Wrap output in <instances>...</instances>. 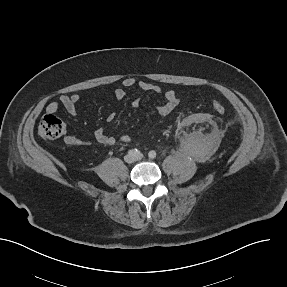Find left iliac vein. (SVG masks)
I'll return each mask as SVG.
<instances>
[{
    "mask_svg": "<svg viewBox=\"0 0 287 287\" xmlns=\"http://www.w3.org/2000/svg\"><path fill=\"white\" fill-rule=\"evenodd\" d=\"M142 157H143V156L140 155V156L136 157V159H137V160H140V159H142Z\"/></svg>",
    "mask_w": 287,
    "mask_h": 287,
    "instance_id": "4c4485c4",
    "label": "left iliac vein"
}]
</instances>
